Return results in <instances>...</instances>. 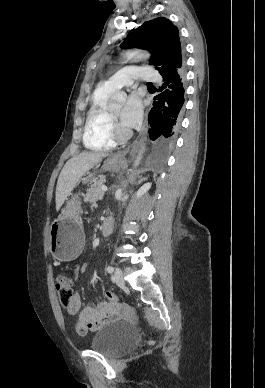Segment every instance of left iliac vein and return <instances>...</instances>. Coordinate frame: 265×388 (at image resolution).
<instances>
[{
	"label": "left iliac vein",
	"instance_id": "1",
	"mask_svg": "<svg viewBox=\"0 0 265 388\" xmlns=\"http://www.w3.org/2000/svg\"><path fill=\"white\" fill-rule=\"evenodd\" d=\"M113 281L120 287H123L125 285L124 277H123V272L120 268L115 269V273L113 276Z\"/></svg>",
	"mask_w": 265,
	"mask_h": 388
}]
</instances>
